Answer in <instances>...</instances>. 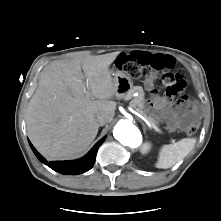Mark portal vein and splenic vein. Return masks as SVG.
<instances>
[{
	"mask_svg": "<svg viewBox=\"0 0 221 221\" xmlns=\"http://www.w3.org/2000/svg\"><path fill=\"white\" fill-rule=\"evenodd\" d=\"M134 113L140 117L149 127L153 128L156 132L158 133H162V131L154 124H152L148 118L146 116H144L143 114H141L138 110H135Z\"/></svg>",
	"mask_w": 221,
	"mask_h": 221,
	"instance_id": "portal-vein-and-splenic-vein-1",
	"label": "portal vein and splenic vein"
}]
</instances>
